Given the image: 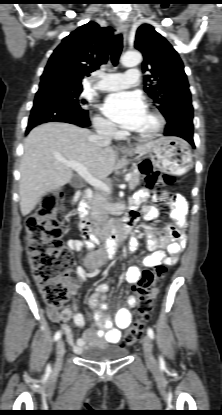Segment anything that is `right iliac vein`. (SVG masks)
Returning a JSON list of instances; mask_svg holds the SVG:
<instances>
[{"label": "right iliac vein", "mask_w": 222, "mask_h": 415, "mask_svg": "<svg viewBox=\"0 0 222 415\" xmlns=\"http://www.w3.org/2000/svg\"><path fill=\"white\" fill-rule=\"evenodd\" d=\"M56 354H57V364H61L63 360V356L65 354V345L62 339L58 340L57 342Z\"/></svg>", "instance_id": "63e3f726"}]
</instances>
